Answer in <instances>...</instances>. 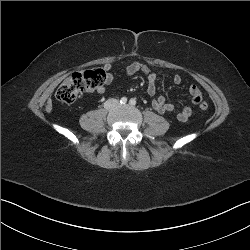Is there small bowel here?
Instances as JSON below:
<instances>
[{
	"label": "small bowel",
	"instance_id": "1",
	"mask_svg": "<svg viewBox=\"0 0 250 250\" xmlns=\"http://www.w3.org/2000/svg\"><path fill=\"white\" fill-rule=\"evenodd\" d=\"M103 71L105 73L106 79L104 84H110L114 77L112 73V65L106 63L103 66ZM127 76H132L137 73H142L147 78V94L154 97L152 100V107L160 114L171 112L176 108V105L167 101L163 96L155 97L157 82L162 75V71H153L149 66L140 62H133L126 66L124 70ZM182 81L180 75L176 74L171 78V82L175 85H179ZM104 84L96 89L98 94H104L106 89ZM189 93L191 95V105H185L177 113V119L181 122H185L189 119L192 114V106L201 102L203 96L201 90L196 85H191L189 88Z\"/></svg>",
	"mask_w": 250,
	"mask_h": 250
}]
</instances>
